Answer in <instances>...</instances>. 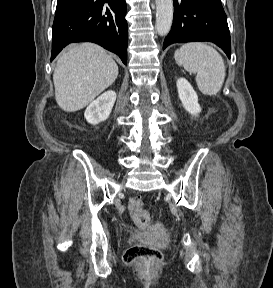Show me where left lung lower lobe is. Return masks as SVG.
<instances>
[{
	"mask_svg": "<svg viewBox=\"0 0 273 288\" xmlns=\"http://www.w3.org/2000/svg\"><path fill=\"white\" fill-rule=\"evenodd\" d=\"M174 17L163 49L173 43L210 41L231 57L227 17L220 0H173Z\"/></svg>",
	"mask_w": 273,
	"mask_h": 288,
	"instance_id": "obj_1",
	"label": "left lung lower lobe"
}]
</instances>
